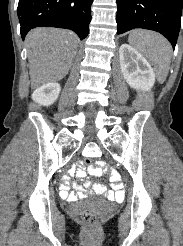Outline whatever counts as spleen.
<instances>
[{
  "mask_svg": "<svg viewBox=\"0 0 183 246\" xmlns=\"http://www.w3.org/2000/svg\"><path fill=\"white\" fill-rule=\"evenodd\" d=\"M129 43L146 56L154 66L159 83H164L172 57L169 41L159 33L147 30H134L128 38Z\"/></svg>",
  "mask_w": 183,
  "mask_h": 246,
  "instance_id": "3e777b00",
  "label": "spleen"
}]
</instances>
